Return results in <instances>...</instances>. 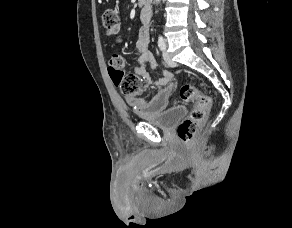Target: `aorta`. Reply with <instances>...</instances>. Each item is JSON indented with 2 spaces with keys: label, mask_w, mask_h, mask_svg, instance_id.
<instances>
[{
  "label": "aorta",
  "mask_w": 292,
  "mask_h": 228,
  "mask_svg": "<svg viewBox=\"0 0 292 228\" xmlns=\"http://www.w3.org/2000/svg\"><path fill=\"white\" fill-rule=\"evenodd\" d=\"M160 0H155L156 3H158Z\"/></svg>",
  "instance_id": "aorta-1"
}]
</instances>
